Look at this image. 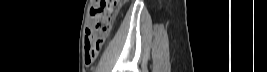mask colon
I'll return each mask as SVG.
<instances>
[{
	"label": "colon",
	"instance_id": "obj_1",
	"mask_svg": "<svg viewBox=\"0 0 267 72\" xmlns=\"http://www.w3.org/2000/svg\"><path fill=\"white\" fill-rule=\"evenodd\" d=\"M121 5L120 0H97L92 11L94 25L86 31V53L94 61ZM91 62V63H92Z\"/></svg>",
	"mask_w": 267,
	"mask_h": 72
}]
</instances>
